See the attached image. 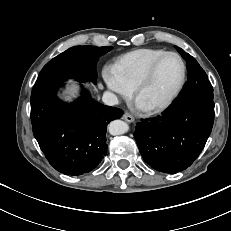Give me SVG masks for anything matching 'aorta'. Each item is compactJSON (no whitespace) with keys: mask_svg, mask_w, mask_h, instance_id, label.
Instances as JSON below:
<instances>
[{"mask_svg":"<svg viewBox=\"0 0 231 231\" xmlns=\"http://www.w3.org/2000/svg\"><path fill=\"white\" fill-rule=\"evenodd\" d=\"M109 133L113 136L122 135L129 130V126L122 120H114L108 126Z\"/></svg>","mask_w":231,"mask_h":231,"instance_id":"762f6f07","label":"aorta"}]
</instances>
